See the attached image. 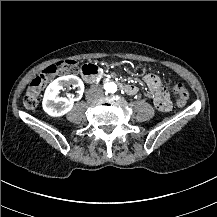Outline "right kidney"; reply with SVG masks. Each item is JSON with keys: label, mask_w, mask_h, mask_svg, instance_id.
Masks as SVG:
<instances>
[{"label": "right kidney", "mask_w": 217, "mask_h": 217, "mask_svg": "<svg viewBox=\"0 0 217 217\" xmlns=\"http://www.w3.org/2000/svg\"><path fill=\"white\" fill-rule=\"evenodd\" d=\"M73 85L79 89V98L84 92L83 81L74 75L62 76L55 79L45 90L43 97V110L51 117H62L67 114L74 106V101L60 97V91L66 87Z\"/></svg>", "instance_id": "right-kidney-1"}]
</instances>
